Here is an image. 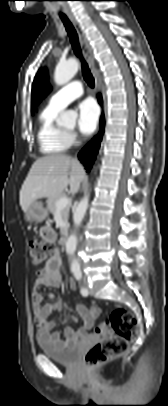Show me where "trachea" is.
<instances>
[{
	"label": "trachea",
	"instance_id": "obj_1",
	"mask_svg": "<svg viewBox=\"0 0 168 406\" xmlns=\"http://www.w3.org/2000/svg\"><path fill=\"white\" fill-rule=\"evenodd\" d=\"M62 21H63L66 31L69 35L74 52L77 55V57H79L81 59L83 77H84L85 81L87 82V84L91 88H93L94 87V78L88 68L87 63L85 62V60L82 57L76 30L74 29L73 25L67 18H62Z\"/></svg>",
	"mask_w": 168,
	"mask_h": 406
}]
</instances>
